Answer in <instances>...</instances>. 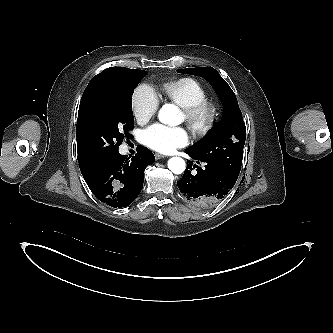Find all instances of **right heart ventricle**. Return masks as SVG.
Wrapping results in <instances>:
<instances>
[{"label":"right heart ventricle","mask_w":333,"mask_h":333,"mask_svg":"<svg viewBox=\"0 0 333 333\" xmlns=\"http://www.w3.org/2000/svg\"><path fill=\"white\" fill-rule=\"evenodd\" d=\"M162 92L181 108L197 104L208 97L205 87L199 81L189 77L163 83Z\"/></svg>","instance_id":"right-heart-ventricle-1"}]
</instances>
